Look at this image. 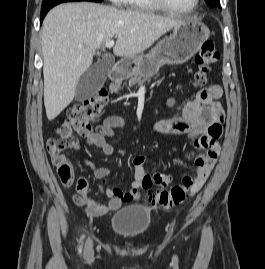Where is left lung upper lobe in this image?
<instances>
[{"label": "left lung upper lobe", "mask_w": 265, "mask_h": 269, "mask_svg": "<svg viewBox=\"0 0 265 269\" xmlns=\"http://www.w3.org/2000/svg\"><path fill=\"white\" fill-rule=\"evenodd\" d=\"M210 7H220L219 0H205Z\"/></svg>", "instance_id": "1"}]
</instances>
